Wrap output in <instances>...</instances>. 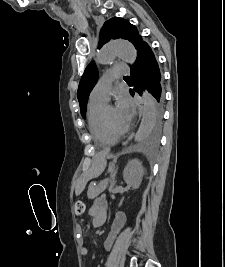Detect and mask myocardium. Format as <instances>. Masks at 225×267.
<instances>
[{"mask_svg":"<svg viewBox=\"0 0 225 267\" xmlns=\"http://www.w3.org/2000/svg\"><path fill=\"white\" fill-rule=\"evenodd\" d=\"M109 107H111V106H106L102 112V123H103L104 129L106 130V132L109 135L113 136L116 139H119L128 131V128L126 127L123 130H115L111 127V125L109 124V122L107 120V116H106V112H107V109Z\"/></svg>","mask_w":225,"mask_h":267,"instance_id":"myocardium-1","label":"myocardium"}]
</instances>
